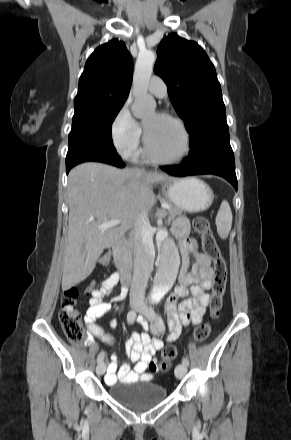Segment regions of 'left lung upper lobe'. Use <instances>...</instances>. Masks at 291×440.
Returning a JSON list of instances; mask_svg holds the SVG:
<instances>
[{
	"mask_svg": "<svg viewBox=\"0 0 291 440\" xmlns=\"http://www.w3.org/2000/svg\"><path fill=\"white\" fill-rule=\"evenodd\" d=\"M154 72L166 82L169 98L186 123L191 152L212 137L229 132L221 86L201 46L169 34L158 46Z\"/></svg>",
	"mask_w": 291,
	"mask_h": 440,
	"instance_id": "left-lung-upper-lobe-1",
	"label": "left lung upper lobe"
}]
</instances>
